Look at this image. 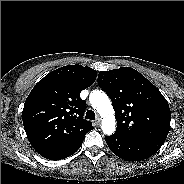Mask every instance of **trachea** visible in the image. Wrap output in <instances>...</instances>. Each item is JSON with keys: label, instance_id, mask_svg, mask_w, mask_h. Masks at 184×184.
<instances>
[{"label": "trachea", "instance_id": "1", "mask_svg": "<svg viewBox=\"0 0 184 184\" xmlns=\"http://www.w3.org/2000/svg\"><path fill=\"white\" fill-rule=\"evenodd\" d=\"M86 119L95 120V113L92 110H88L85 116Z\"/></svg>", "mask_w": 184, "mask_h": 184}]
</instances>
